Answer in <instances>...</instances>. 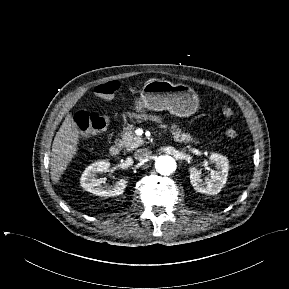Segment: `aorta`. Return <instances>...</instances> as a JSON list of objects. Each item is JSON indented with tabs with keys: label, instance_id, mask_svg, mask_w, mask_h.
<instances>
[{
	"label": "aorta",
	"instance_id": "1",
	"mask_svg": "<svg viewBox=\"0 0 289 289\" xmlns=\"http://www.w3.org/2000/svg\"><path fill=\"white\" fill-rule=\"evenodd\" d=\"M155 168L162 175H170L176 170L177 163L171 156H159L155 162Z\"/></svg>",
	"mask_w": 289,
	"mask_h": 289
}]
</instances>
